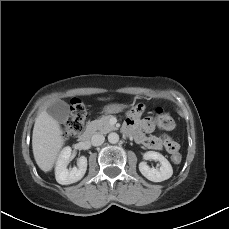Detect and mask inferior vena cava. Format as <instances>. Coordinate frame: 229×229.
Listing matches in <instances>:
<instances>
[{
    "label": "inferior vena cava",
    "mask_w": 229,
    "mask_h": 229,
    "mask_svg": "<svg viewBox=\"0 0 229 229\" xmlns=\"http://www.w3.org/2000/svg\"><path fill=\"white\" fill-rule=\"evenodd\" d=\"M105 140V137L100 134V133H96L91 137V144L93 146H100L101 144H103Z\"/></svg>",
    "instance_id": "inferior-vena-cava-1"
}]
</instances>
